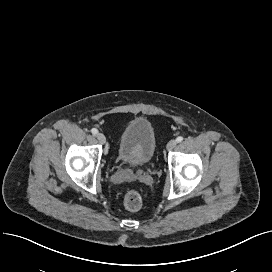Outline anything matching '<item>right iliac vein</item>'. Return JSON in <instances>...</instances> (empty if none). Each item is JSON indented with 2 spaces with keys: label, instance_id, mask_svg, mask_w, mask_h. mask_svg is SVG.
I'll list each match as a JSON object with an SVG mask.
<instances>
[{
  "label": "right iliac vein",
  "instance_id": "1",
  "mask_svg": "<svg viewBox=\"0 0 272 272\" xmlns=\"http://www.w3.org/2000/svg\"><path fill=\"white\" fill-rule=\"evenodd\" d=\"M96 137H97V140L99 141V143L104 144L106 142V138H105L104 134L97 133Z\"/></svg>",
  "mask_w": 272,
  "mask_h": 272
}]
</instances>
